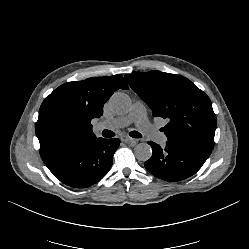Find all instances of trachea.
<instances>
[{
  "mask_svg": "<svg viewBox=\"0 0 249 249\" xmlns=\"http://www.w3.org/2000/svg\"><path fill=\"white\" fill-rule=\"evenodd\" d=\"M115 134L110 131V130H103L102 132V136L105 137V138H111L113 137ZM130 136L133 137V138H141L143 137V135L137 131H132L130 132Z\"/></svg>",
  "mask_w": 249,
  "mask_h": 249,
  "instance_id": "1",
  "label": "trachea"
}]
</instances>
